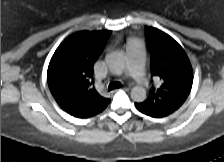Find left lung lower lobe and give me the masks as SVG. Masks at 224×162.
Here are the masks:
<instances>
[{"label":"left lung lower lobe","mask_w":224,"mask_h":162,"mask_svg":"<svg viewBox=\"0 0 224 162\" xmlns=\"http://www.w3.org/2000/svg\"><path fill=\"white\" fill-rule=\"evenodd\" d=\"M135 106H136V108H137L140 112H142V113H144V114H146V115H148V116L154 117V118H160V117H164V116L169 115V114H163V113H150V112L141 111V110L138 108L137 103L135 104Z\"/></svg>","instance_id":"left-lung-lower-lobe-1"}]
</instances>
